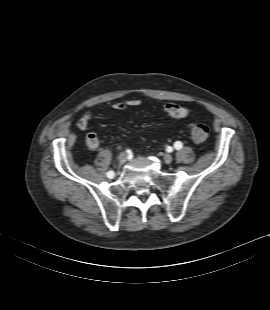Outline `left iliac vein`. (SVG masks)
<instances>
[{"label": "left iliac vein", "instance_id": "obj_1", "mask_svg": "<svg viewBox=\"0 0 270 310\" xmlns=\"http://www.w3.org/2000/svg\"><path fill=\"white\" fill-rule=\"evenodd\" d=\"M163 159L166 164H170L173 158L170 154L166 153L164 154Z\"/></svg>", "mask_w": 270, "mask_h": 310}]
</instances>
